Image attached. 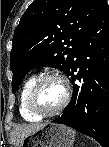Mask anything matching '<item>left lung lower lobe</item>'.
Masks as SVG:
<instances>
[{
    "label": "left lung lower lobe",
    "mask_w": 109,
    "mask_h": 147,
    "mask_svg": "<svg viewBox=\"0 0 109 147\" xmlns=\"http://www.w3.org/2000/svg\"><path fill=\"white\" fill-rule=\"evenodd\" d=\"M91 74L100 78L99 87L88 86ZM73 83L71 102L62 116L52 122L67 125L109 145V5L106 4L85 32L69 74ZM91 90V91H90Z\"/></svg>",
    "instance_id": "1"
}]
</instances>
